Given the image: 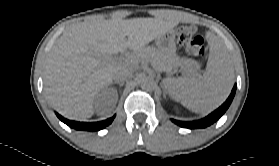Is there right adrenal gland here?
<instances>
[{
  "instance_id": "1",
  "label": "right adrenal gland",
  "mask_w": 279,
  "mask_h": 166,
  "mask_svg": "<svg viewBox=\"0 0 279 166\" xmlns=\"http://www.w3.org/2000/svg\"><path fill=\"white\" fill-rule=\"evenodd\" d=\"M114 84H118L119 85V87H122L123 86V84H124V82H114Z\"/></svg>"
}]
</instances>
